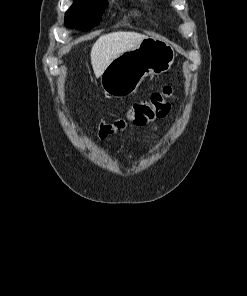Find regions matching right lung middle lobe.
I'll list each match as a JSON object with an SVG mask.
<instances>
[{"label": "right lung middle lobe", "mask_w": 247, "mask_h": 296, "mask_svg": "<svg viewBox=\"0 0 247 296\" xmlns=\"http://www.w3.org/2000/svg\"><path fill=\"white\" fill-rule=\"evenodd\" d=\"M107 2L104 0H76L66 12L67 27L87 31L96 26L102 19Z\"/></svg>", "instance_id": "right-lung-middle-lobe-1"}]
</instances>
